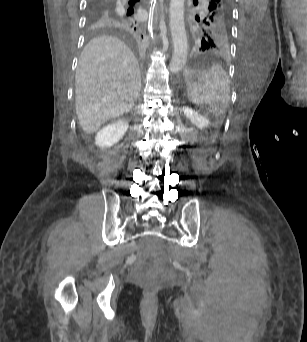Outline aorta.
Segmentation results:
<instances>
[{
    "instance_id": "1",
    "label": "aorta",
    "mask_w": 307,
    "mask_h": 342,
    "mask_svg": "<svg viewBox=\"0 0 307 342\" xmlns=\"http://www.w3.org/2000/svg\"><path fill=\"white\" fill-rule=\"evenodd\" d=\"M185 0H170L169 24L173 42V56L170 62V70L179 72L186 64L188 56L187 36L184 24Z\"/></svg>"
}]
</instances>
